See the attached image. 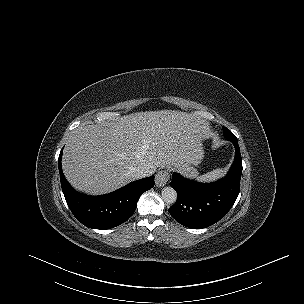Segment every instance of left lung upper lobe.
I'll use <instances>...</instances> for the list:
<instances>
[{"label": "left lung upper lobe", "instance_id": "5c2ea615", "mask_svg": "<svg viewBox=\"0 0 304 304\" xmlns=\"http://www.w3.org/2000/svg\"><path fill=\"white\" fill-rule=\"evenodd\" d=\"M224 136L227 138V140L230 141H237L236 136L227 128L223 127Z\"/></svg>", "mask_w": 304, "mask_h": 304}]
</instances>
